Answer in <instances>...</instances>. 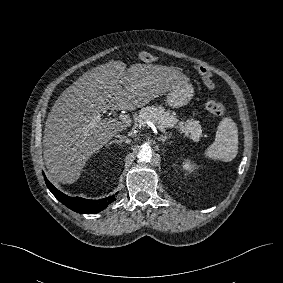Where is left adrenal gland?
<instances>
[{
	"instance_id": "obj_1",
	"label": "left adrenal gland",
	"mask_w": 283,
	"mask_h": 283,
	"mask_svg": "<svg viewBox=\"0 0 283 283\" xmlns=\"http://www.w3.org/2000/svg\"><path fill=\"white\" fill-rule=\"evenodd\" d=\"M170 137H171V134H167V135H161L160 137H157L156 139L158 141H162V143L164 144L166 140L169 139Z\"/></svg>"
}]
</instances>
